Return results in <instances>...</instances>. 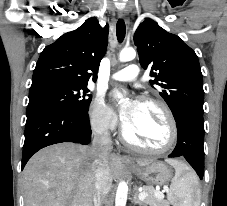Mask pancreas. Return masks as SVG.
<instances>
[{"mask_svg": "<svg viewBox=\"0 0 227 206\" xmlns=\"http://www.w3.org/2000/svg\"><path fill=\"white\" fill-rule=\"evenodd\" d=\"M143 192L146 193V197L143 200V204L149 206H169V203L163 200V198L155 196L154 194L155 189L152 186L143 187Z\"/></svg>", "mask_w": 227, "mask_h": 206, "instance_id": "cf45deb5", "label": "pancreas"}]
</instances>
